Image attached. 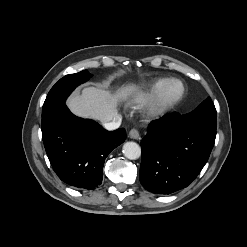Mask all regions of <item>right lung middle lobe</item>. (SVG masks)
Masks as SVG:
<instances>
[{"mask_svg": "<svg viewBox=\"0 0 247 247\" xmlns=\"http://www.w3.org/2000/svg\"><path fill=\"white\" fill-rule=\"evenodd\" d=\"M92 75L87 70L61 78L50 90L43 105L42 115L65 104L69 94Z\"/></svg>", "mask_w": 247, "mask_h": 247, "instance_id": "1", "label": "right lung middle lobe"}]
</instances>
